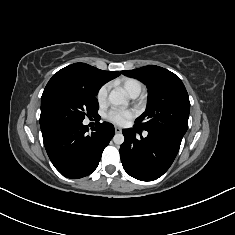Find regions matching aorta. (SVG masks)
Returning <instances> with one entry per match:
<instances>
[{
  "instance_id": "1",
  "label": "aorta",
  "mask_w": 235,
  "mask_h": 235,
  "mask_svg": "<svg viewBox=\"0 0 235 235\" xmlns=\"http://www.w3.org/2000/svg\"><path fill=\"white\" fill-rule=\"evenodd\" d=\"M109 102L112 105H128V100L126 98L125 92L122 89H114L110 92L108 97ZM113 141L117 145H121L124 142V136L122 133H117L113 137Z\"/></svg>"
}]
</instances>
